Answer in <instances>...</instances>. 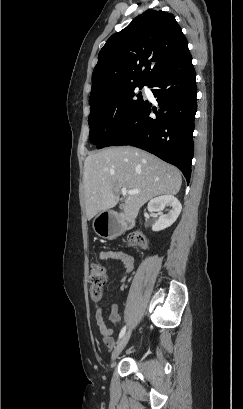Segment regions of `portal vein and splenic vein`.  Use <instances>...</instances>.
Returning a JSON list of instances; mask_svg holds the SVG:
<instances>
[{
    "label": "portal vein and splenic vein",
    "mask_w": 243,
    "mask_h": 409,
    "mask_svg": "<svg viewBox=\"0 0 243 409\" xmlns=\"http://www.w3.org/2000/svg\"><path fill=\"white\" fill-rule=\"evenodd\" d=\"M121 193L123 196H127L128 194L134 195L140 193V190H127L126 188H122Z\"/></svg>",
    "instance_id": "portal-vein-and-splenic-vein-1"
}]
</instances>
